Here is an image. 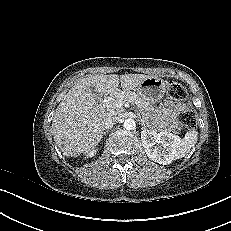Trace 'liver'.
<instances>
[{
  "label": "liver",
  "instance_id": "liver-1",
  "mask_svg": "<svg viewBox=\"0 0 231 231\" xmlns=\"http://www.w3.org/2000/svg\"><path fill=\"white\" fill-rule=\"evenodd\" d=\"M148 77L144 74H101L79 79L56 108L52 120L53 138L63 155L75 157L87 153L103 137L104 116L91 87L100 95H116L120 93L119 84L128 92Z\"/></svg>",
  "mask_w": 231,
  "mask_h": 231
}]
</instances>
